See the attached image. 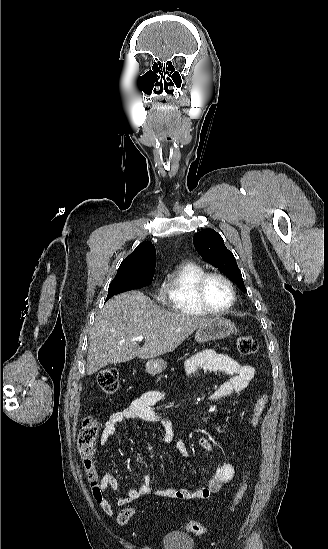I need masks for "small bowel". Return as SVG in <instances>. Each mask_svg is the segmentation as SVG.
<instances>
[{"label":"small bowel","instance_id":"1","mask_svg":"<svg viewBox=\"0 0 328 549\" xmlns=\"http://www.w3.org/2000/svg\"><path fill=\"white\" fill-rule=\"evenodd\" d=\"M185 370L189 376H195L200 372H222L230 376L226 382L211 394L210 400L212 402L220 401L234 393L243 391L255 376L253 366L239 363L232 357L214 350H204L188 358L185 362ZM163 398V391L157 389L149 390L134 399L128 407L111 414L103 425L100 438L101 444L104 445L108 442L115 434L119 424L130 419H138L161 425L163 428L162 441L171 442L176 434V430L170 424L166 414L156 408V405ZM198 445L202 449L213 453V448L207 438H200ZM176 447L183 458L187 459L189 457L188 450L181 440L177 441ZM234 475L235 470L233 465L217 459L213 473L205 486L195 490L159 487L156 492L161 496L179 500H204L219 492L225 484L233 480ZM153 484L154 477L149 473H145L138 488H130L125 496L117 498L113 503L108 499L106 493L108 491H116L118 481L115 474L109 471L101 478L99 486L102 491V498L98 502L106 514L112 515L114 505L126 506L140 497L150 494Z\"/></svg>","mask_w":328,"mask_h":549}]
</instances>
